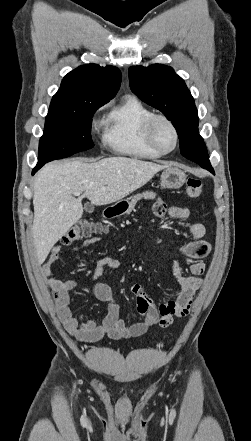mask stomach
I'll list each match as a JSON object with an SVG mask.
<instances>
[{
	"instance_id": "1",
	"label": "stomach",
	"mask_w": 251,
	"mask_h": 441,
	"mask_svg": "<svg viewBox=\"0 0 251 441\" xmlns=\"http://www.w3.org/2000/svg\"><path fill=\"white\" fill-rule=\"evenodd\" d=\"M186 181V174L178 167H167L161 174V187L168 189H179ZM129 203L126 200L118 201L114 207L118 214L124 213L128 208Z\"/></svg>"
}]
</instances>
